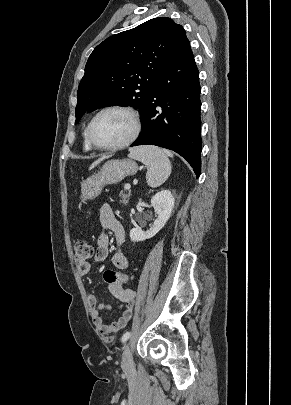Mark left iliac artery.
<instances>
[{"mask_svg": "<svg viewBox=\"0 0 291 405\" xmlns=\"http://www.w3.org/2000/svg\"><path fill=\"white\" fill-rule=\"evenodd\" d=\"M130 336H131L130 332L124 333L122 338H121L122 342L125 343L130 338Z\"/></svg>", "mask_w": 291, "mask_h": 405, "instance_id": "obj_1", "label": "left iliac artery"}]
</instances>
